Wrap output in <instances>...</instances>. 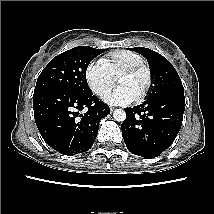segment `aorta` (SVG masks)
<instances>
[{"instance_id":"aorta-1","label":"aorta","mask_w":214,"mask_h":214,"mask_svg":"<svg viewBox=\"0 0 214 214\" xmlns=\"http://www.w3.org/2000/svg\"><path fill=\"white\" fill-rule=\"evenodd\" d=\"M113 117L118 122H123L126 119V112L122 109H116L113 112Z\"/></svg>"}]
</instances>
